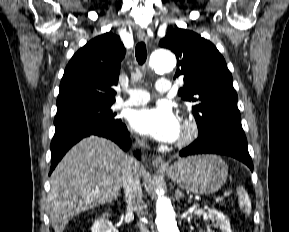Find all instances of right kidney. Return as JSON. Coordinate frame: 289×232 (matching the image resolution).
I'll return each mask as SVG.
<instances>
[{
    "label": "right kidney",
    "mask_w": 289,
    "mask_h": 232,
    "mask_svg": "<svg viewBox=\"0 0 289 232\" xmlns=\"http://www.w3.org/2000/svg\"><path fill=\"white\" fill-rule=\"evenodd\" d=\"M92 232H119L116 227L108 219V214H104L103 217L95 220L91 228Z\"/></svg>",
    "instance_id": "ca27d5eb"
}]
</instances>
